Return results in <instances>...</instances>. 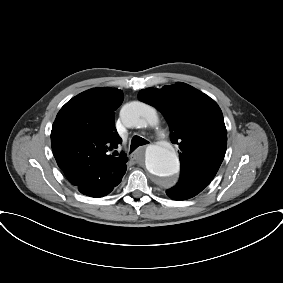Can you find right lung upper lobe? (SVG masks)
I'll return each instance as SVG.
<instances>
[{"mask_svg":"<svg viewBox=\"0 0 283 283\" xmlns=\"http://www.w3.org/2000/svg\"><path fill=\"white\" fill-rule=\"evenodd\" d=\"M116 88H92L69 100L52 126L51 145L58 166L75 186L106 168L121 175L128 158L110 155L122 142L114 112L123 101Z\"/></svg>","mask_w":283,"mask_h":283,"instance_id":"cb5924a9","label":"right lung upper lobe"}]
</instances>
